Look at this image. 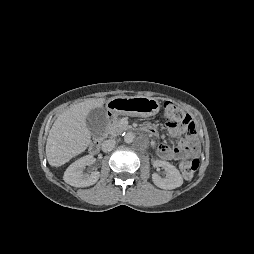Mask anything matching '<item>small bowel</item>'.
<instances>
[{
  "instance_id": "1",
  "label": "small bowel",
  "mask_w": 254,
  "mask_h": 254,
  "mask_svg": "<svg viewBox=\"0 0 254 254\" xmlns=\"http://www.w3.org/2000/svg\"><path fill=\"white\" fill-rule=\"evenodd\" d=\"M143 129H145L147 132L151 134L156 133V129L151 124H145L143 126ZM171 132L173 135L179 137L183 134L184 128H172ZM199 151L198 144L196 140L192 136H187L185 138H178V144L176 148H171L167 144L163 143L159 145L158 147V154L160 158L164 160H174L179 155L183 153H189V154H197Z\"/></svg>"
}]
</instances>
